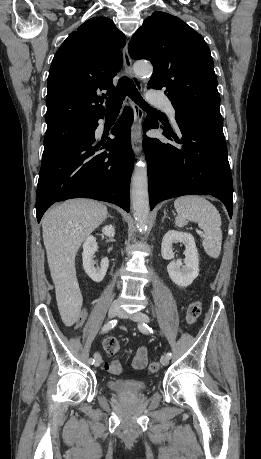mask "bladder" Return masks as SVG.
I'll return each instance as SVG.
<instances>
[{
  "label": "bladder",
  "instance_id": "obj_1",
  "mask_svg": "<svg viewBox=\"0 0 261 459\" xmlns=\"http://www.w3.org/2000/svg\"><path fill=\"white\" fill-rule=\"evenodd\" d=\"M107 386L111 391L120 395H137L147 390L146 384L136 379H110Z\"/></svg>",
  "mask_w": 261,
  "mask_h": 459
}]
</instances>
